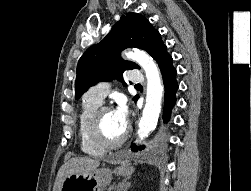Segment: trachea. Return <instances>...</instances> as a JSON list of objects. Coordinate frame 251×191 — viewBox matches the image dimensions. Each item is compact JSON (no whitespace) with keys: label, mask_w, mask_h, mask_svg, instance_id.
<instances>
[{"label":"trachea","mask_w":251,"mask_h":191,"mask_svg":"<svg viewBox=\"0 0 251 191\" xmlns=\"http://www.w3.org/2000/svg\"><path fill=\"white\" fill-rule=\"evenodd\" d=\"M135 87H142V85H140V83H137Z\"/></svg>","instance_id":"obj_1"}]
</instances>
